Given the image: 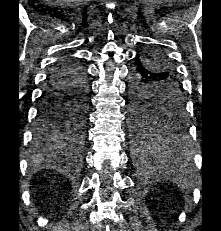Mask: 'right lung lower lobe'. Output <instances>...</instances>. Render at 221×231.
Returning a JSON list of instances; mask_svg holds the SVG:
<instances>
[{"label":"right lung lower lobe","mask_w":221,"mask_h":231,"mask_svg":"<svg viewBox=\"0 0 221 231\" xmlns=\"http://www.w3.org/2000/svg\"><path fill=\"white\" fill-rule=\"evenodd\" d=\"M79 97L88 99V82L84 68L72 58L60 59L51 70L42 95L34 130V144L37 148L49 149L52 147L51 144L36 139L43 127L42 119L46 107Z\"/></svg>","instance_id":"98d812e1"}]
</instances>
